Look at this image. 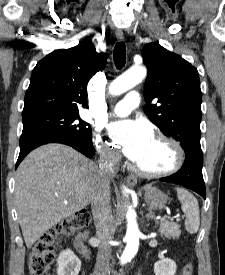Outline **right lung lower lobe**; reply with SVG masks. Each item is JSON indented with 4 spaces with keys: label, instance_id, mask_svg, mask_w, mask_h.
Here are the masks:
<instances>
[{
    "label": "right lung lower lobe",
    "instance_id": "obj_1",
    "mask_svg": "<svg viewBox=\"0 0 225 275\" xmlns=\"http://www.w3.org/2000/svg\"><path fill=\"white\" fill-rule=\"evenodd\" d=\"M47 143H62L69 145L88 158H92L94 155L92 141H82L65 134L51 131L32 130L22 132L20 137V153L16 163V168L30 151Z\"/></svg>",
    "mask_w": 225,
    "mask_h": 275
}]
</instances>
